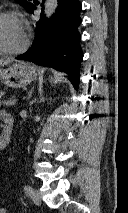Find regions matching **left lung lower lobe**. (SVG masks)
<instances>
[{"instance_id":"obj_1","label":"left lung lower lobe","mask_w":128,"mask_h":213,"mask_svg":"<svg viewBox=\"0 0 128 213\" xmlns=\"http://www.w3.org/2000/svg\"><path fill=\"white\" fill-rule=\"evenodd\" d=\"M36 7L32 4L29 11ZM79 0H58L57 11L52 18L42 19L36 24L33 46L16 59L28 60L43 66L64 71L71 76L75 89L79 85L80 65L83 59L80 47V34L77 30L81 23Z\"/></svg>"}]
</instances>
